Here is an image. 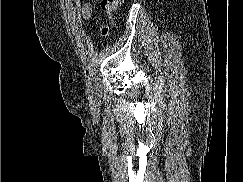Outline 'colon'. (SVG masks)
Masks as SVG:
<instances>
[{
  "label": "colon",
  "instance_id": "1",
  "mask_svg": "<svg viewBox=\"0 0 243 182\" xmlns=\"http://www.w3.org/2000/svg\"><path fill=\"white\" fill-rule=\"evenodd\" d=\"M125 0H100V9L106 16V21L101 24L99 32L102 36H108L113 25V14Z\"/></svg>",
  "mask_w": 243,
  "mask_h": 182
}]
</instances>
